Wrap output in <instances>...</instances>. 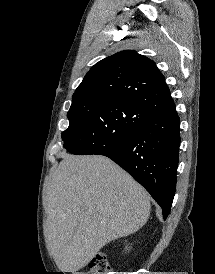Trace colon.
<instances>
[{"mask_svg": "<svg viewBox=\"0 0 215 274\" xmlns=\"http://www.w3.org/2000/svg\"><path fill=\"white\" fill-rule=\"evenodd\" d=\"M110 265L104 253H98L90 262L87 272L79 274H109Z\"/></svg>", "mask_w": 215, "mask_h": 274, "instance_id": "5ec220e1", "label": "colon"}]
</instances>
